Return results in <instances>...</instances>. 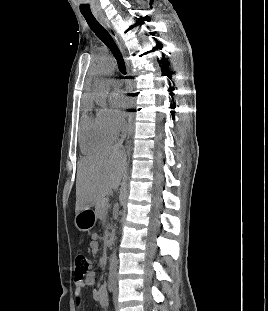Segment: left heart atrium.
I'll list each match as a JSON object with an SVG mask.
<instances>
[{"mask_svg": "<svg viewBox=\"0 0 268 311\" xmlns=\"http://www.w3.org/2000/svg\"><path fill=\"white\" fill-rule=\"evenodd\" d=\"M122 97V95H115L112 97L113 104L118 108H126L130 105V101L122 99Z\"/></svg>", "mask_w": 268, "mask_h": 311, "instance_id": "obj_1", "label": "left heart atrium"}]
</instances>
